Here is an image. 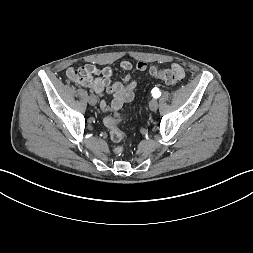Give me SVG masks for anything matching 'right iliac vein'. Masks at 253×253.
I'll use <instances>...</instances> for the list:
<instances>
[{"mask_svg": "<svg viewBox=\"0 0 253 253\" xmlns=\"http://www.w3.org/2000/svg\"><path fill=\"white\" fill-rule=\"evenodd\" d=\"M88 102H89V104L91 105V106H94V105H96V103H97V97L95 96V95H90L89 97H88Z\"/></svg>", "mask_w": 253, "mask_h": 253, "instance_id": "obj_1", "label": "right iliac vein"}]
</instances>
